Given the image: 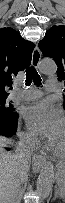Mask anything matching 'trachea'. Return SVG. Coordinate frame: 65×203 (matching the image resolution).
Instances as JSON below:
<instances>
[{
  "mask_svg": "<svg viewBox=\"0 0 65 203\" xmlns=\"http://www.w3.org/2000/svg\"><path fill=\"white\" fill-rule=\"evenodd\" d=\"M32 81L35 85L41 86V78L33 66L26 68V86H29Z\"/></svg>",
  "mask_w": 65,
  "mask_h": 203,
  "instance_id": "obj_1",
  "label": "trachea"
}]
</instances>
